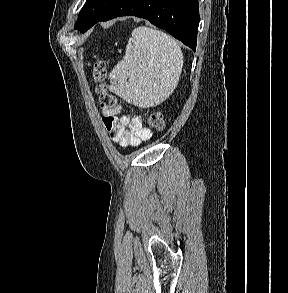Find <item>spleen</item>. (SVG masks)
Wrapping results in <instances>:
<instances>
[{
    "label": "spleen",
    "instance_id": "spleen-1",
    "mask_svg": "<svg viewBox=\"0 0 288 293\" xmlns=\"http://www.w3.org/2000/svg\"><path fill=\"white\" fill-rule=\"evenodd\" d=\"M183 67L179 44L146 26L132 31L123 60L109 74V90L128 103L153 107L176 88Z\"/></svg>",
    "mask_w": 288,
    "mask_h": 293
}]
</instances>
